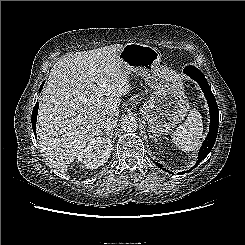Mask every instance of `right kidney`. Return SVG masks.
<instances>
[{"instance_id":"1","label":"right kidney","mask_w":245,"mask_h":245,"mask_svg":"<svg viewBox=\"0 0 245 245\" xmlns=\"http://www.w3.org/2000/svg\"><path fill=\"white\" fill-rule=\"evenodd\" d=\"M111 150L112 142L109 138L95 137L79 152L77 158L84 167L95 169L108 161Z\"/></svg>"}]
</instances>
